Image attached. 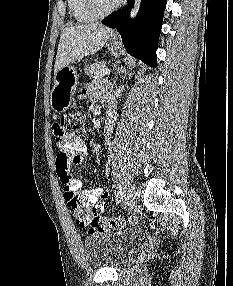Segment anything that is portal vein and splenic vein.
Masks as SVG:
<instances>
[{
	"label": "portal vein and splenic vein",
	"instance_id": "obj_1",
	"mask_svg": "<svg viewBox=\"0 0 233 286\" xmlns=\"http://www.w3.org/2000/svg\"><path fill=\"white\" fill-rule=\"evenodd\" d=\"M101 73H103L104 75H108V74H110V70L105 68L101 71Z\"/></svg>",
	"mask_w": 233,
	"mask_h": 286
}]
</instances>
